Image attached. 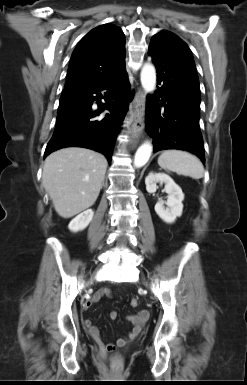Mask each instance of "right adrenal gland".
<instances>
[{
  "label": "right adrenal gland",
  "instance_id": "right-adrenal-gland-1",
  "mask_svg": "<svg viewBox=\"0 0 247 385\" xmlns=\"http://www.w3.org/2000/svg\"><path fill=\"white\" fill-rule=\"evenodd\" d=\"M102 186H104V181H103V183H102Z\"/></svg>",
  "mask_w": 247,
  "mask_h": 385
}]
</instances>
